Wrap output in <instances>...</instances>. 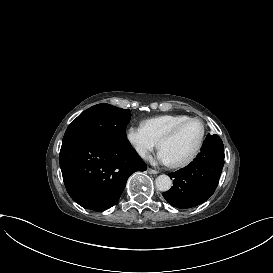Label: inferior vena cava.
Listing matches in <instances>:
<instances>
[{
	"mask_svg": "<svg viewBox=\"0 0 273 273\" xmlns=\"http://www.w3.org/2000/svg\"><path fill=\"white\" fill-rule=\"evenodd\" d=\"M143 154H145V151H143V152L141 153V156H143Z\"/></svg>",
	"mask_w": 273,
	"mask_h": 273,
	"instance_id": "1",
	"label": "inferior vena cava"
}]
</instances>
